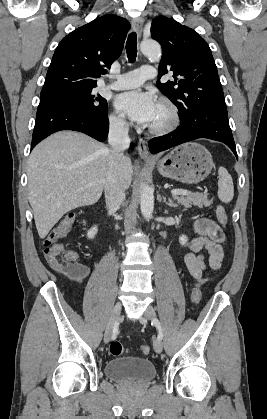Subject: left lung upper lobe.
<instances>
[{
	"instance_id": "left-lung-upper-lobe-1",
	"label": "left lung upper lobe",
	"mask_w": 267,
	"mask_h": 419,
	"mask_svg": "<svg viewBox=\"0 0 267 419\" xmlns=\"http://www.w3.org/2000/svg\"><path fill=\"white\" fill-rule=\"evenodd\" d=\"M151 36L162 46L160 79L173 72L174 80L156 85L178 108L180 121L198 110L225 108L217 67L206 41L193 29L160 16L154 18Z\"/></svg>"
}]
</instances>
